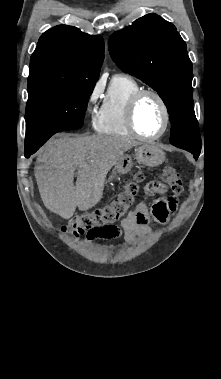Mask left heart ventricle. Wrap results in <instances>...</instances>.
I'll use <instances>...</instances> for the list:
<instances>
[{
  "mask_svg": "<svg viewBox=\"0 0 221 379\" xmlns=\"http://www.w3.org/2000/svg\"><path fill=\"white\" fill-rule=\"evenodd\" d=\"M136 126L145 136L158 134L164 123V115L159 102L151 95H147L139 102L136 110Z\"/></svg>",
  "mask_w": 221,
  "mask_h": 379,
  "instance_id": "1",
  "label": "left heart ventricle"
}]
</instances>
